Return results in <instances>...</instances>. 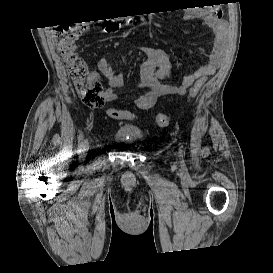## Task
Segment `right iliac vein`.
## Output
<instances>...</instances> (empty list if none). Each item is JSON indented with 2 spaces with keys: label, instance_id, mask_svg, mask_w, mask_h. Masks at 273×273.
I'll list each match as a JSON object with an SVG mask.
<instances>
[{
  "label": "right iliac vein",
  "instance_id": "1",
  "mask_svg": "<svg viewBox=\"0 0 273 273\" xmlns=\"http://www.w3.org/2000/svg\"><path fill=\"white\" fill-rule=\"evenodd\" d=\"M88 146H89L88 141L85 140V141L83 142V145H82L83 150H84V151H87V150H88Z\"/></svg>",
  "mask_w": 273,
  "mask_h": 273
}]
</instances>
